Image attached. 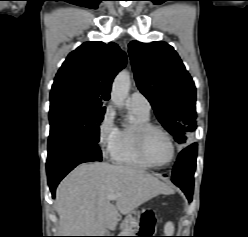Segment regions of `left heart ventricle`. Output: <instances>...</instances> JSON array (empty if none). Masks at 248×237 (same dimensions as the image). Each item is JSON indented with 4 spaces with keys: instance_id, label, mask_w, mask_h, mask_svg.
<instances>
[{
    "instance_id": "left-heart-ventricle-1",
    "label": "left heart ventricle",
    "mask_w": 248,
    "mask_h": 237,
    "mask_svg": "<svg viewBox=\"0 0 248 237\" xmlns=\"http://www.w3.org/2000/svg\"><path fill=\"white\" fill-rule=\"evenodd\" d=\"M145 150L149 159L157 164L165 163L171 154L168 139L159 131H150L145 139Z\"/></svg>"
}]
</instances>
